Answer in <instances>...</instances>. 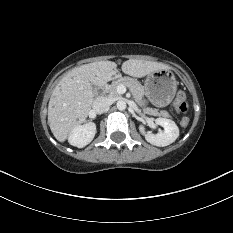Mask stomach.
Returning <instances> with one entry per match:
<instances>
[{
  "mask_svg": "<svg viewBox=\"0 0 233 233\" xmlns=\"http://www.w3.org/2000/svg\"><path fill=\"white\" fill-rule=\"evenodd\" d=\"M177 86L173 72L163 69L147 75L144 90L152 104L165 107L174 99Z\"/></svg>",
  "mask_w": 233,
  "mask_h": 233,
  "instance_id": "stomach-1",
  "label": "stomach"
}]
</instances>
